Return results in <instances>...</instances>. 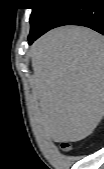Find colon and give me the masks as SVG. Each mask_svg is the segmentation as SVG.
I'll return each instance as SVG.
<instances>
[{
	"mask_svg": "<svg viewBox=\"0 0 104 169\" xmlns=\"http://www.w3.org/2000/svg\"><path fill=\"white\" fill-rule=\"evenodd\" d=\"M62 147H63L65 150H67V151L71 149L69 143H63V144H62Z\"/></svg>",
	"mask_w": 104,
	"mask_h": 169,
	"instance_id": "obj_1",
	"label": "colon"
}]
</instances>
